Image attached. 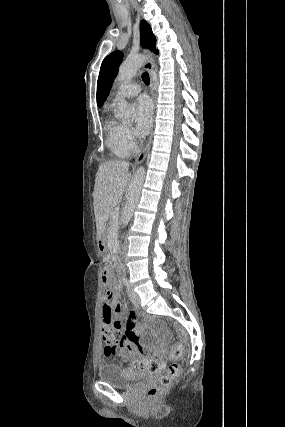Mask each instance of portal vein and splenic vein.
<instances>
[{"mask_svg": "<svg viewBox=\"0 0 285 427\" xmlns=\"http://www.w3.org/2000/svg\"><path fill=\"white\" fill-rule=\"evenodd\" d=\"M118 216H119V211H118V209L116 208V209L114 210V212H113V218L116 220V219L118 218Z\"/></svg>", "mask_w": 285, "mask_h": 427, "instance_id": "portal-vein-and-splenic-vein-1", "label": "portal vein and splenic vein"}]
</instances>
